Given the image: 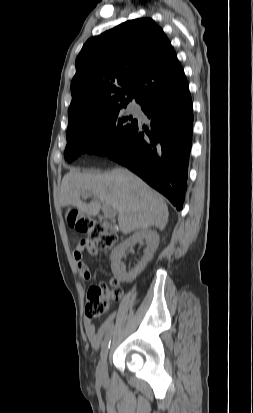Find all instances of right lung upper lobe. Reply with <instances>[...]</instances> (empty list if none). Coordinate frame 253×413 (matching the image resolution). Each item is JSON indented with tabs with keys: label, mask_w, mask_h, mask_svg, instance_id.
Listing matches in <instances>:
<instances>
[{
	"label": "right lung upper lobe",
	"mask_w": 253,
	"mask_h": 413,
	"mask_svg": "<svg viewBox=\"0 0 253 413\" xmlns=\"http://www.w3.org/2000/svg\"><path fill=\"white\" fill-rule=\"evenodd\" d=\"M75 66L69 121L132 99L142 106L188 87L170 41L150 18L129 20L90 38Z\"/></svg>",
	"instance_id": "right-lung-upper-lobe-1"
}]
</instances>
